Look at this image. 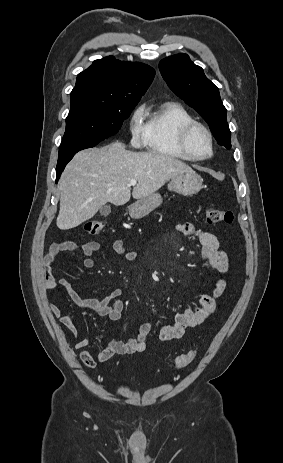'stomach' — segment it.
I'll return each instance as SVG.
<instances>
[{
    "mask_svg": "<svg viewBox=\"0 0 283 463\" xmlns=\"http://www.w3.org/2000/svg\"><path fill=\"white\" fill-rule=\"evenodd\" d=\"M203 179L195 172L184 173L171 179L168 184L170 191H175L182 195H193L202 189ZM162 203L159 193H153L145 198L139 199L129 206V215L133 219H140L148 215Z\"/></svg>",
    "mask_w": 283,
    "mask_h": 463,
    "instance_id": "0dacf381",
    "label": "stomach"
}]
</instances>
